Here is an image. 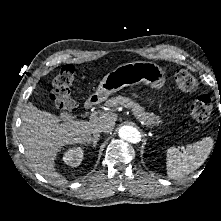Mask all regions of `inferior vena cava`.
I'll return each mask as SVG.
<instances>
[{
    "label": "inferior vena cava",
    "instance_id": "1",
    "mask_svg": "<svg viewBox=\"0 0 221 221\" xmlns=\"http://www.w3.org/2000/svg\"><path fill=\"white\" fill-rule=\"evenodd\" d=\"M100 132H105V128L103 126H98L92 129L93 136L99 135Z\"/></svg>",
    "mask_w": 221,
    "mask_h": 221
}]
</instances>
